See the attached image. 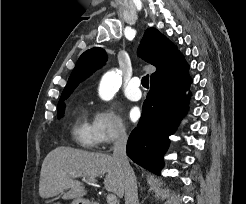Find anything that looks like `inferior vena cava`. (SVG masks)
<instances>
[{"label": "inferior vena cava", "mask_w": 246, "mask_h": 204, "mask_svg": "<svg viewBox=\"0 0 246 204\" xmlns=\"http://www.w3.org/2000/svg\"><path fill=\"white\" fill-rule=\"evenodd\" d=\"M127 139L125 130L119 129L113 146V158L124 173L125 204H139L136 177L126 154Z\"/></svg>", "instance_id": "inferior-vena-cava-1"}]
</instances>
